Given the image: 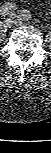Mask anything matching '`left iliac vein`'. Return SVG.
Listing matches in <instances>:
<instances>
[{
  "mask_svg": "<svg viewBox=\"0 0 51 153\" xmlns=\"http://www.w3.org/2000/svg\"><path fill=\"white\" fill-rule=\"evenodd\" d=\"M20 16H21V14H20ZM11 17L14 18V19H18V18H19L18 15H17L16 13H12V14H11ZM16 25L19 26V25H22V24H21L20 21H16Z\"/></svg>",
  "mask_w": 51,
  "mask_h": 153,
  "instance_id": "left-iliac-vein-1",
  "label": "left iliac vein"
}]
</instances>
